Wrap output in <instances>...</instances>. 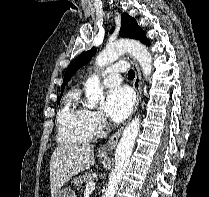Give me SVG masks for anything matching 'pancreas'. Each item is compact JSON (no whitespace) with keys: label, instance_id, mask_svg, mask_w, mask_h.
<instances>
[{"label":"pancreas","instance_id":"obj_1","mask_svg":"<svg viewBox=\"0 0 209 197\" xmlns=\"http://www.w3.org/2000/svg\"><path fill=\"white\" fill-rule=\"evenodd\" d=\"M91 180H92L91 175L89 173H87L85 175H80V176L74 178L72 183L74 184V186L80 187L83 182L88 183Z\"/></svg>","mask_w":209,"mask_h":197}]
</instances>
